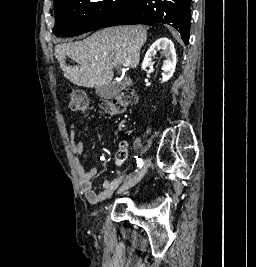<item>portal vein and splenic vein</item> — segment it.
<instances>
[{
    "mask_svg": "<svg viewBox=\"0 0 256 267\" xmlns=\"http://www.w3.org/2000/svg\"><path fill=\"white\" fill-rule=\"evenodd\" d=\"M124 68H127V66H129V64H123Z\"/></svg>",
    "mask_w": 256,
    "mask_h": 267,
    "instance_id": "portal-vein-and-splenic-vein-1",
    "label": "portal vein and splenic vein"
}]
</instances>
